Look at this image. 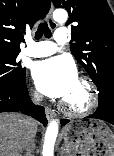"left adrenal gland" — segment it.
Here are the masks:
<instances>
[{"label":"left adrenal gland","mask_w":114,"mask_h":156,"mask_svg":"<svg viewBox=\"0 0 114 156\" xmlns=\"http://www.w3.org/2000/svg\"><path fill=\"white\" fill-rule=\"evenodd\" d=\"M60 156H66V155L64 154V147H61Z\"/></svg>","instance_id":"left-adrenal-gland-1"}]
</instances>
